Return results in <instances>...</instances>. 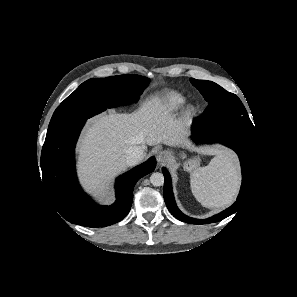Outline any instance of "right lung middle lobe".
Returning <instances> with one entry per match:
<instances>
[{"mask_svg":"<svg viewBox=\"0 0 297 297\" xmlns=\"http://www.w3.org/2000/svg\"><path fill=\"white\" fill-rule=\"evenodd\" d=\"M150 79L136 74L89 79L55 110L46 139L50 140L107 108L136 102Z\"/></svg>","mask_w":297,"mask_h":297,"instance_id":"right-lung-middle-lobe-1","label":"right lung middle lobe"}]
</instances>
